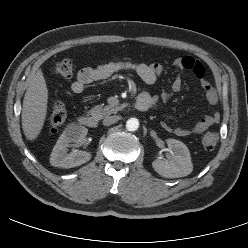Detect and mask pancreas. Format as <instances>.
Wrapping results in <instances>:
<instances>
[{
    "label": "pancreas",
    "instance_id": "1",
    "mask_svg": "<svg viewBox=\"0 0 248 248\" xmlns=\"http://www.w3.org/2000/svg\"><path fill=\"white\" fill-rule=\"evenodd\" d=\"M125 105L121 104L120 106H103V105H97L95 107H93L89 113L90 115H92L94 118L100 119L106 115H109L111 113H115L119 110H121Z\"/></svg>",
    "mask_w": 248,
    "mask_h": 248
}]
</instances>
